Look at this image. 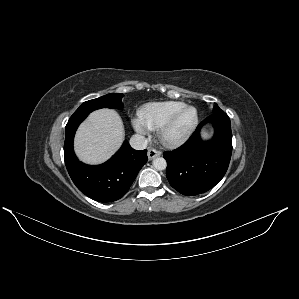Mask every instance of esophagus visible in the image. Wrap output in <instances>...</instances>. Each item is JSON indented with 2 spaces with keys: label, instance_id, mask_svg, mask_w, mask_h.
<instances>
[{
  "label": "esophagus",
  "instance_id": "34e87169",
  "mask_svg": "<svg viewBox=\"0 0 299 299\" xmlns=\"http://www.w3.org/2000/svg\"><path fill=\"white\" fill-rule=\"evenodd\" d=\"M160 155H161L160 151L156 150L155 148H149V149H148L147 156H148V159H149V160H152V159H154L155 157H158V156H160Z\"/></svg>",
  "mask_w": 299,
  "mask_h": 299
}]
</instances>
